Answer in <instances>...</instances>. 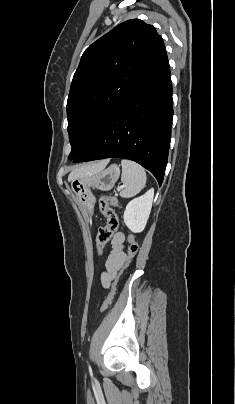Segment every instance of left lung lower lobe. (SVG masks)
Returning a JSON list of instances; mask_svg holds the SVG:
<instances>
[{
  "label": "left lung lower lobe",
  "instance_id": "1",
  "mask_svg": "<svg viewBox=\"0 0 235 404\" xmlns=\"http://www.w3.org/2000/svg\"><path fill=\"white\" fill-rule=\"evenodd\" d=\"M173 116L167 55L117 107L92 145L76 162L126 158L148 169L162 184Z\"/></svg>",
  "mask_w": 235,
  "mask_h": 404
}]
</instances>
